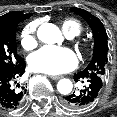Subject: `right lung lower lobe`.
Here are the masks:
<instances>
[{
	"mask_svg": "<svg viewBox=\"0 0 117 117\" xmlns=\"http://www.w3.org/2000/svg\"><path fill=\"white\" fill-rule=\"evenodd\" d=\"M25 62L22 60L11 67L0 66V109L11 110L22 105L25 89L15 84L25 71Z\"/></svg>",
	"mask_w": 117,
	"mask_h": 117,
	"instance_id": "obj_1",
	"label": "right lung lower lobe"
}]
</instances>
